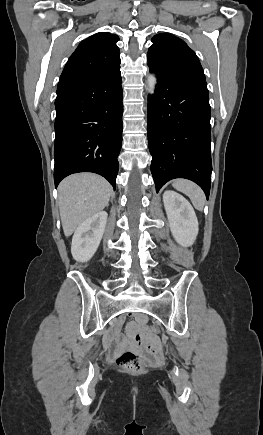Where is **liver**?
Returning <instances> with one entry per match:
<instances>
[{
	"instance_id": "liver-1",
	"label": "liver",
	"mask_w": 263,
	"mask_h": 435,
	"mask_svg": "<svg viewBox=\"0 0 263 435\" xmlns=\"http://www.w3.org/2000/svg\"><path fill=\"white\" fill-rule=\"evenodd\" d=\"M112 187L96 174L79 173L58 186V203L65 236H70L86 219L109 203Z\"/></svg>"
}]
</instances>
